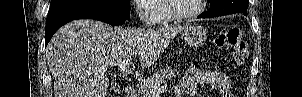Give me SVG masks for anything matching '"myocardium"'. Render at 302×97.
<instances>
[{
  "mask_svg": "<svg viewBox=\"0 0 302 97\" xmlns=\"http://www.w3.org/2000/svg\"><path fill=\"white\" fill-rule=\"evenodd\" d=\"M172 1L173 0H165L166 3V10L168 15L174 20V21H186L192 18H195L197 16H199L200 14H202L205 10L206 7V2L207 0H199V7L191 12V13H187V14H179L177 13L172 5Z\"/></svg>",
  "mask_w": 302,
  "mask_h": 97,
  "instance_id": "1",
  "label": "myocardium"
}]
</instances>
